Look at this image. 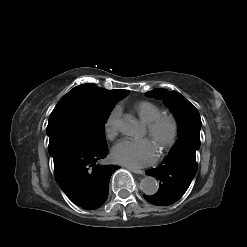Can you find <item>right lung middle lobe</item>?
Instances as JSON below:
<instances>
[{
  "instance_id": "right-lung-middle-lobe-1",
  "label": "right lung middle lobe",
  "mask_w": 247,
  "mask_h": 247,
  "mask_svg": "<svg viewBox=\"0 0 247 247\" xmlns=\"http://www.w3.org/2000/svg\"><path fill=\"white\" fill-rule=\"evenodd\" d=\"M123 94L105 98L99 93L75 87L64 95L52 111L46 132L51 136H65L93 148L106 147L104 126L115 104Z\"/></svg>"
}]
</instances>
